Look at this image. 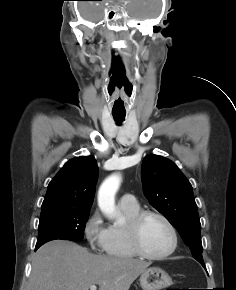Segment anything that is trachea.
I'll return each mask as SVG.
<instances>
[{
	"mask_svg": "<svg viewBox=\"0 0 236 290\" xmlns=\"http://www.w3.org/2000/svg\"><path fill=\"white\" fill-rule=\"evenodd\" d=\"M114 120L117 124H121L125 119V113H112Z\"/></svg>",
	"mask_w": 236,
	"mask_h": 290,
	"instance_id": "1",
	"label": "trachea"
}]
</instances>
